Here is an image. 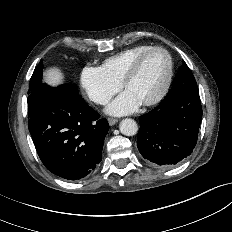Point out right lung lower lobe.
<instances>
[{
    "mask_svg": "<svg viewBox=\"0 0 232 232\" xmlns=\"http://www.w3.org/2000/svg\"><path fill=\"white\" fill-rule=\"evenodd\" d=\"M28 127L45 167L68 180L85 178L96 168L109 130L72 84L47 86L29 111Z\"/></svg>",
    "mask_w": 232,
    "mask_h": 232,
    "instance_id": "right-lung-lower-lobe-1",
    "label": "right lung lower lobe"
}]
</instances>
